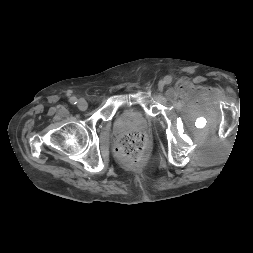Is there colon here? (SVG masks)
<instances>
[{"label":"colon","instance_id":"5ec220e1","mask_svg":"<svg viewBox=\"0 0 253 253\" xmlns=\"http://www.w3.org/2000/svg\"><path fill=\"white\" fill-rule=\"evenodd\" d=\"M147 140L139 131H131L122 135L115 144L118 157L129 164L140 163L145 155Z\"/></svg>","mask_w":253,"mask_h":253}]
</instances>
